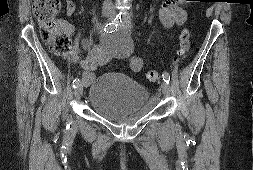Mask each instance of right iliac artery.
Here are the masks:
<instances>
[{
	"instance_id": "obj_1",
	"label": "right iliac artery",
	"mask_w": 253,
	"mask_h": 170,
	"mask_svg": "<svg viewBox=\"0 0 253 170\" xmlns=\"http://www.w3.org/2000/svg\"><path fill=\"white\" fill-rule=\"evenodd\" d=\"M120 18H121V16L117 15L114 20L110 21L109 23H107L103 27L102 32L103 33H112V32H114L120 24ZM79 82H80V80L78 78L74 79L72 87L76 88L77 85L79 84Z\"/></svg>"
}]
</instances>
